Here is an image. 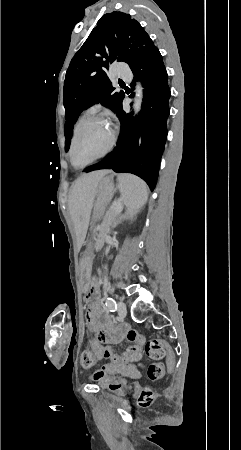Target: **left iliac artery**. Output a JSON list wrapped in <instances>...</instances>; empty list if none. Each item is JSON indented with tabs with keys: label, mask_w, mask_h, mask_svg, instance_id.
Segmentation results:
<instances>
[{
	"label": "left iliac artery",
	"mask_w": 241,
	"mask_h": 450,
	"mask_svg": "<svg viewBox=\"0 0 241 450\" xmlns=\"http://www.w3.org/2000/svg\"><path fill=\"white\" fill-rule=\"evenodd\" d=\"M106 307L109 309V311L114 312L117 309V304L115 302V300L111 297H108L106 299Z\"/></svg>",
	"instance_id": "obj_1"
}]
</instances>
